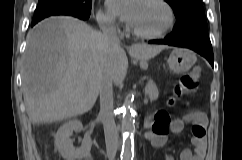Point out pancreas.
I'll list each match as a JSON object with an SVG mask.
<instances>
[{
	"label": "pancreas",
	"instance_id": "pancreas-1",
	"mask_svg": "<svg viewBox=\"0 0 242 160\" xmlns=\"http://www.w3.org/2000/svg\"><path fill=\"white\" fill-rule=\"evenodd\" d=\"M145 93L149 97L150 101H155L158 98V89L153 81H149L145 87Z\"/></svg>",
	"mask_w": 242,
	"mask_h": 160
}]
</instances>
